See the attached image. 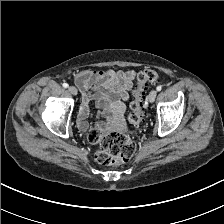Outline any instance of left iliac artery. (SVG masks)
I'll return each instance as SVG.
<instances>
[{"mask_svg":"<svg viewBox=\"0 0 224 224\" xmlns=\"http://www.w3.org/2000/svg\"><path fill=\"white\" fill-rule=\"evenodd\" d=\"M161 89H162V86L161 85H159V86L156 87V90L157 91H161Z\"/></svg>","mask_w":224,"mask_h":224,"instance_id":"44dca946","label":"left iliac artery"}]
</instances>
